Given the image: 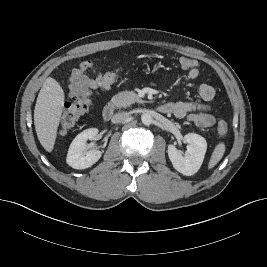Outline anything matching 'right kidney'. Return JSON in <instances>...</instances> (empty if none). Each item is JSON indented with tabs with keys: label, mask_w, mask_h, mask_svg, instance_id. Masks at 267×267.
I'll use <instances>...</instances> for the list:
<instances>
[{
	"label": "right kidney",
	"mask_w": 267,
	"mask_h": 267,
	"mask_svg": "<svg viewBox=\"0 0 267 267\" xmlns=\"http://www.w3.org/2000/svg\"><path fill=\"white\" fill-rule=\"evenodd\" d=\"M98 134L97 128H89L78 134L70 144L67 154V164L74 169H86L95 164L101 157L99 150H86V141L94 140Z\"/></svg>",
	"instance_id": "1"
}]
</instances>
